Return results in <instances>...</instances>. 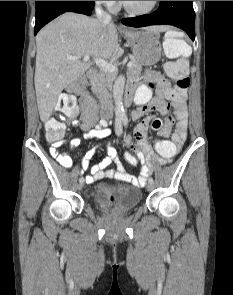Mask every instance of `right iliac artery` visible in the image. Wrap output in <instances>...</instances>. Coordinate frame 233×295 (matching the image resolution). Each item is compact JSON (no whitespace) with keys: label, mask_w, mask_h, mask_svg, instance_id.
<instances>
[{"label":"right iliac artery","mask_w":233,"mask_h":295,"mask_svg":"<svg viewBox=\"0 0 233 295\" xmlns=\"http://www.w3.org/2000/svg\"><path fill=\"white\" fill-rule=\"evenodd\" d=\"M115 130H116V134L118 136H120L122 134V122H121V119H116Z\"/></svg>","instance_id":"right-iliac-artery-1"}]
</instances>
